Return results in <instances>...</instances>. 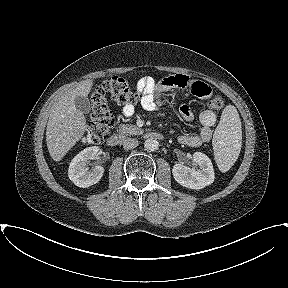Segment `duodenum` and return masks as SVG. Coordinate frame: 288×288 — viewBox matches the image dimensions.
I'll return each mask as SVG.
<instances>
[{
	"label": "duodenum",
	"mask_w": 288,
	"mask_h": 288,
	"mask_svg": "<svg viewBox=\"0 0 288 288\" xmlns=\"http://www.w3.org/2000/svg\"><path fill=\"white\" fill-rule=\"evenodd\" d=\"M145 137L147 139H155V140H162L163 139V135L159 132H155V131H150L145 133ZM123 141V137L119 134H111L108 139H107V144L110 147H116L119 146Z\"/></svg>",
	"instance_id": "410a0bca"
}]
</instances>
